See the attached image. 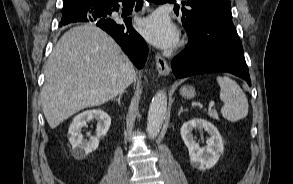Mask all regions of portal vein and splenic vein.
<instances>
[{"mask_svg": "<svg viewBox=\"0 0 293 184\" xmlns=\"http://www.w3.org/2000/svg\"><path fill=\"white\" fill-rule=\"evenodd\" d=\"M212 107H214V102H210L208 108L211 109Z\"/></svg>", "mask_w": 293, "mask_h": 184, "instance_id": "18ae733b", "label": "portal vein and splenic vein"}]
</instances>
